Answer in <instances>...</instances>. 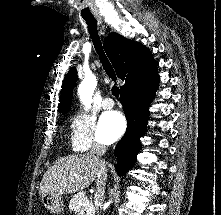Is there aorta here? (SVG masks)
<instances>
[{
  "mask_svg": "<svg viewBox=\"0 0 221 215\" xmlns=\"http://www.w3.org/2000/svg\"><path fill=\"white\" fill-rule=\"evenodd\" d=\"M97 85L95 76H86L78 87V95L80 101L84 104L86 109L91 107L92 95Z\"/></svg>",
  "mask_w": 221,
  "mask_h": 215,
  "instance_id": "aorta-1",
  "label": "aorta"
}]
</instances>
